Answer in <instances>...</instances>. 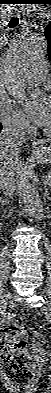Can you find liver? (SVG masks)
Listing matches in <instances>:
<instances>
[{"label":"liver","instance_id":"liver-1","mask_svg":"<svg viewBox=\"0 0 51 393\" xmlns=\"http://www.w3.org/2000/svg\"><path fill=\"white\" fill-rule=\"evenodd\" d=\"M2 166L8 167L13 171H19L22 168L19 157L10 151L2 149L0 145V169Z\"/></svg>","mask_w":51,"mask_h":393}]
</instances>
